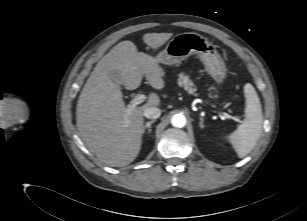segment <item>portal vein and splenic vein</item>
Listing matches in <instances>:
<instances>
[{
	"label": "portal vein and splenic vein",
	"instance_id": "portal-vein-and-splenic-vein-1",
	"mask_svg": "<svg viewBox=\"0 0 307 221\" xmlns=\"http://www.w3.org/2000/svg\"><path fill=\"white\" fill-rule=\"evenodd\" d=\"M146 95L145 94H137L135 96V98H133L131 101H130V106L128 107V110H127V114H130V112L139 104L143 103L145 100H146ZM224 115L225 118H231V116L227 113H222Z\"/></svg>",
	"mask_w": 307,
	"mask_h": 221
}]
</instances>
